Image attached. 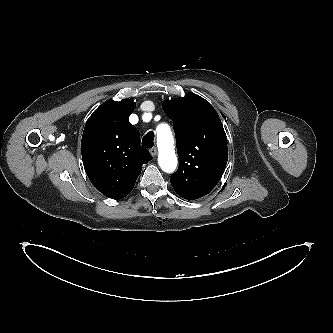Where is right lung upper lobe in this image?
I'll use <instances>...</instances> for the list:
<instances>
[{"mask_svg":"<svg viewBox=\"0 0 333 333\" xmlns=\"http://www.w3.org/2000/svg\"><path fill=\"white\" fill-rule=\"evenodd\" d=\"M136 103L109 100L99 106L85 124L81 150L83 165L92 184L105 196L128 195L152 156L140 146V134L130 124Z\"/></svg>","mask_w":333,"mask_h":333,"instance_id":"cb5924a9","label":"right lung upper lobe"}]
</instances>
